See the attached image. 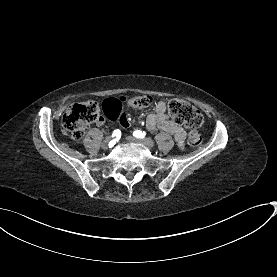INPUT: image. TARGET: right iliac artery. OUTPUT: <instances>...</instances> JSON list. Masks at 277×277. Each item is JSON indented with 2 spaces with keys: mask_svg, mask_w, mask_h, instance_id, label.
<instances>
[{
  "mask_svg": "<svg viewBox=\"0 0 277 277\" xmlns=\"http://www.w3.org/2000/svg\"><path fill=\"white\" fill-rule=\"evenodd\" d=\"M121 136V131L120 130H115L114 132H113V134H112V137H120Z\"/></svg>",
  "mask_w": 277,
  "mask_h": 277,
  "instance_id": "obj_1",
  "label": "right iliac artery"
}]
</instances>
